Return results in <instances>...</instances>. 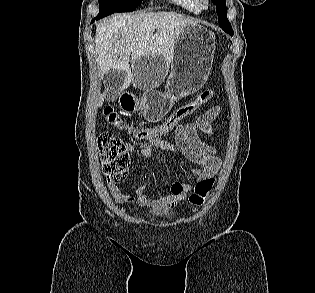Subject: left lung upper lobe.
Wrapping results in <instances>:
<instances>
[{"mask_svg":"<svg viewBox=\"0 0 315 293\" xmlns=\"http://www.w3.org/2000/svg\"><path fill=\"white\" fill-rule=\"evenodd\" d=\"M212 2L216 5V12L218 15V23L220 27L228 34L233 35V29L226 16L227 11L225 0H212Z\"/></svg>","mask_w":315,"mask_h":293,"instance_id":"obj_1","label":"left lung upper lobe"}]
</instances>
